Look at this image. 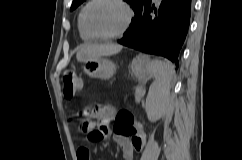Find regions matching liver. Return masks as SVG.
<instances>
[{"instance_id":"liver-1","label":"liver","mask_w":242,"mask_h":160,"mask_svg":"<svg viewBox=\"0 0 242 160\" xmlns=\"http://www.w3.org/2000/svg\"><path fill=\"white\" fill-rule=\"evenodd\" d=\"M122 46L118 44H88L84 45L77 52L76 58L80 62L87 60H93L98 57L111 56L119 53L122 50Z\"/></svg>"}]
</instances>
